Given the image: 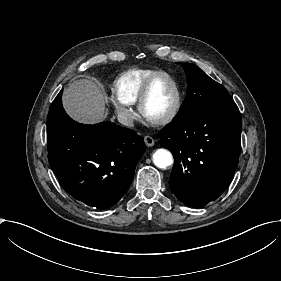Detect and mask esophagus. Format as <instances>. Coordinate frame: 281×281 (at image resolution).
<instances>
[{
  "label": "esophagus",
  "mask_w": 281,
  "mask_h": 281,
  "mask_svg": "<svg viewBox=\"0 0 281 281\" xmlns=\"http://www.w3.org/2000/svg\"><path fill=\"white\" fill-rule=\"evenodd\" d=\"M144 142H145L146 146H148V147L153 146L154 143H155L154 139L152 137H150V136H145L144 137Z\"/></svg>",
  "instance_id": "1"
}]
</instances>
